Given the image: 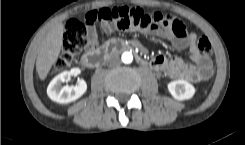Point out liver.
<instances>
[{
    "instance_id": "liver-1",
    "label": "liver",
    "mask_w": 245,
    "mask_h": 145,
    "mask_svg": "<svg viewBox=\"0 0 245 145\" xmlns=\"http://www.w3.org/2000/svg\"><path fill=\"white\" fill-rule=\"evenodd\" d=\"M64 26L59 23L54 26L42 40L36 60V70L39 78L44 80L52 65L57 61L63 42Z\"/></svg>"
}]
</instances>
